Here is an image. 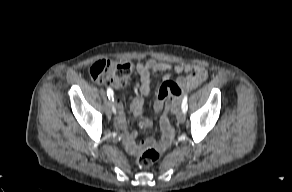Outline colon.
Segmentation results:
<instances>
[{"mask_svg": "<svg viewBox=\"0 0 292 192\" xmlns=\"http://www.w3.org/2000/svg\"><path fill=\"white\" fill-rule=\"evenodd\" d=\"M89 74L94 81L100 84L122 89L129 83L132 65L129 62H115L103 59L92 64ZM159 156L160 150L158 148L148 147L136 159V163L140 168H147L153 165L159 159Z\"/></svg>", "mask_w": 292, "mask_h": 192, "instance_id": "1", "label": "colon"}]
</instances>
